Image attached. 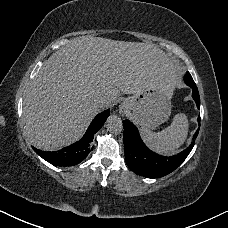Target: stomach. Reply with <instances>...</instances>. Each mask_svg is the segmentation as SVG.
<instances>
[{
    "label": "stomach",
    "mask_w": 228,
    "mask_h": 228,
    "mask_svg": "<svg viewBox=\"0 0 228 228\" xmlns=\"http://www.w3.org/2000/svg\"><path fill=\"white\" fill-rule=\"evenodd\" d=\"M171 98L172 94L163 87H149L127 97L120 106V113L145 128L154 129L168 120Z\"/></svg>",
    "instance_id": "stomach-1"
}]
</instances>
